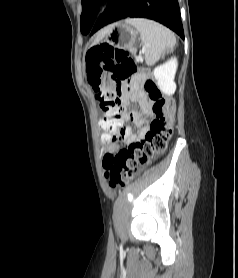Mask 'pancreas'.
Masks as SVG:
<instances>
[{"label": "pancreas", "instance_id": "pancreas-1", "mask_svg": "<svg viewBox=\"0 0 238 278\" xmlns=\"http://www.w3.org/2000/svg\"><path fill=\"white\" fill-rule=\"evenodd\" d=\"M131 52H132V53H135V49H131Z\"/></svg>", "mask_w": 238, "mask_h": 278}]
</instances>
